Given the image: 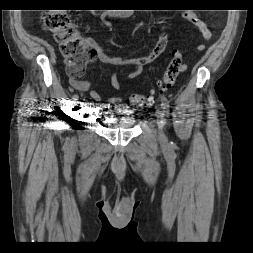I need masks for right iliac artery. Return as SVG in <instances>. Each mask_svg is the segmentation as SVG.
<instances>
[{"label": "right iliac artery", "instance_id": "right-iliac-artery-1", "mask_svg": "<svg viewBox=\"0 0 253 253\" xmlns=\"http://www.w3.org/2000/svg\"><path fill=\"white\" fill-rule=\"evenodd\" d=\"M79 98L77 94H72L71 95V101H70V108H69V113H72L74 107L76 106V104L78 103Z\"/></svg>", "mask_w": 253, "mask_h": 253}]
</instances>
